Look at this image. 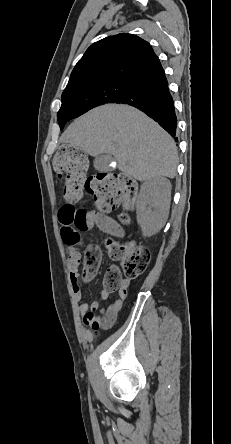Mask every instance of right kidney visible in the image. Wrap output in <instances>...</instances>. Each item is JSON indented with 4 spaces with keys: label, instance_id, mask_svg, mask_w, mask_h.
Here are the masks:
<instances>
[{
    "label": "right kidney",
    "instance_id": "obj_1",
    "mask_svg": "<svg viewBox=\"0 0 231 444\" xmlns=\"http://www.w3.org/2000/svg\"><path fill=\"white\" fill-rule=\"evenodd\" d=\"M171 183L164 177L144 182L138 196L136 214L143 235L151 236L165 225L170 208Z\"/></svg>",
    "mask_w": 231,
    "mask_h": 444
}]
</instances>
